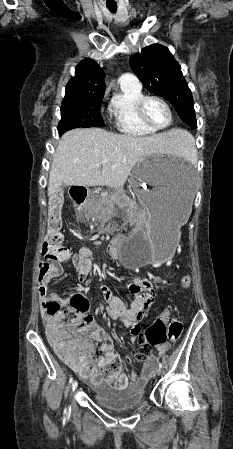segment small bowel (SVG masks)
Returning <instances> with one entry per match:
<instances>
[{"label": "small bowel", "mask_w": 233, "mask_h": 449, "mask_svg": "<svg viewBox=\"0 0 233 449\" xmlns=\"http://www.w3.org/2000/svg\"><path fill=\"white\" fill-rule=\"evenodd\" d=\"M92 255L93 252L89 247H83L78 253H69L66 257L51 262L44 268L40 266L38 287L43 300L46 301L48 298V287L51 279L58 276L62 271V265L69 261L75 266L79 281L84 282L92 271ZM106 255L109 258H116V250L111 248ZM162 283L163 280L159 276L134 279L130 284L133 299L129 305L121 297L114 296L107 286L102 285L100 287L101 294L107 303L106 310L109 316L122 322L130 329L129 339L133 344L137 342L141 331L138 322L145 316L154 300V289ZM158 349L163 352L166 346H160ZM100 350L102 355L97 360L94 359L95 349L80 352L75 347V350L71 351L72 355L80 360L79 366L73 367L74 370L94 384H100L103 380L109 383L120 381L122 386L128 382L133 385L140 384L151 377L158 361L155 356L149 353L140 375L129 378L122 371V360L114 352L112 342L108 345H100Z\"/></svg>", "instance_id": "c3829d8e"}]
</instances>
